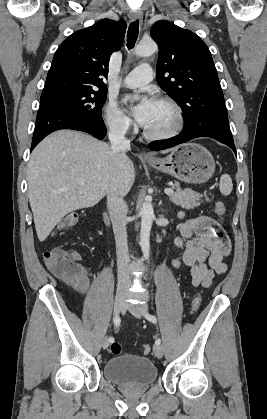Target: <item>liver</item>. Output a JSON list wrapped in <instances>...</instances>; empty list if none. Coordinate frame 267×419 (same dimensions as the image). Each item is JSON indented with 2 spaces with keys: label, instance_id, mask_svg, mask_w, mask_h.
<instances>
[{
  "label": "liver",
  "instance_id": "obj_1",
  "mask_svg": "<svg viewBox=\"0 0 267 419\" xmlns=\"http://www.w3.org/2000/svg\"><path fill=\"white\" fill-rule=\"evenodd\" d=\"M134 180L135 169L125 151H114L83 132L51 133L28 163V196L38 239L44 241L68 213L96 205L113 183L122 186L125 195Z\"/></svg>",
  "mask_w": 267,
  "mask_h": 419
}]
</instances>
